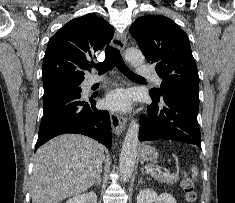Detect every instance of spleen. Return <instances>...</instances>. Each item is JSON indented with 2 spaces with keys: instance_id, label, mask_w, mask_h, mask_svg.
<instances>
[{
  "instance_id": "1",
  "label": "spleen",
  "mask_w": 235,
  "mask_h": 203,
  "mask_svg": "<svg viewBox=\"0 0 235 203\" xmlns=\"http://www.w3.org/2000/svg\"><path fill=\"white\" fill-rule=\"evenodd\" d=\"M191 171H192V178L196 179V177L198 176V169H197V167L192 166Z\"/></svg>"
}]
</instances>
